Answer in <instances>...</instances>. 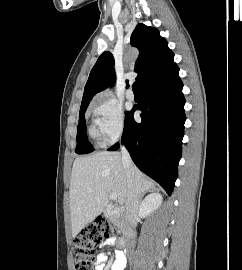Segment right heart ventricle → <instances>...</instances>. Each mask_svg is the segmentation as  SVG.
<instances>
[{
  "label": "right heart ventricle",
  "mask_w": 242,
  "mask_h": 270,
  "mask_svg": "<svg viewBox=\"0 0 242 270\" xmlns=\"http://www.w3.org/2000/svg\"><path fill=\"white\" fill-rule=\"evenodd\" d=\"M90 134L96 136V130L93 127L90 129Z\"/></svg>",
  "instance_id": "e07e8e85"
}]
</instances>
